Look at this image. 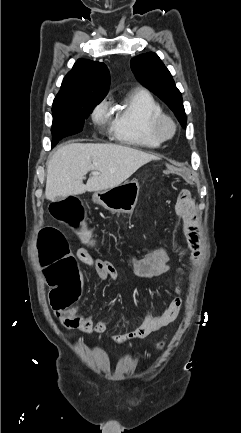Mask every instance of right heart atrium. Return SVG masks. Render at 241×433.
<instances>
[{
    "mask_svg": "<svg viewBox=\"0 0 241 433\" xmlns=\"http://www.w3.org/2000/svg\"><path fill=\"white\" fill-rule=\"evenodd\" d=\"M92 120L97 125H103L109 118V104L106 101L101 102L92 112Z\"/></svg>",
    "mask_w": 241,
    "mask_h": 433,
    "instance_id": "right-heart-atrium-1",
    "label": "right heart atrium"
}]
</instances>
